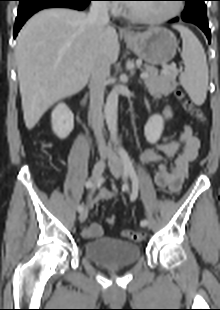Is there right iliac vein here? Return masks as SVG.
Segmentation results:
<instances>
[{
    "mask_svg": "<svg viewBox=\"0 0 220 310\" xmlns=\"http://www.w3.org/2000/svg\"><path fill=\"white\" fill-rule=\"evenodd\" d=\"M103 171H104V162H103V160H101V161L97 162L93 168L92 176L90 178V180L92 181L93 184H96L98 182ZM92 191H93V189H92ZM87 216H88V209L84 208L80 212V215H79L80 222L83 223L86 220Z\"/></svg>",
    "mask_w": 220,
    "mask_h": 310,
    "instance_id": "63e3f726",
    "label": "right iliac vein"
}]
</instances>
